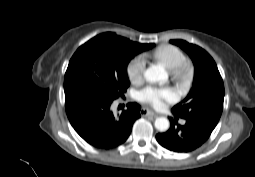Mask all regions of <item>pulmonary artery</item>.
<instances>
[{"label":"pulmonary artery","instance_id":"pulmonary-artery-1","mask_svg":"<svg viewBox=\"0 0 255 177\" xmlns=\"http://www.w3.org/2000/svg\"><path fill=\"white\" fill-rule=\"evenodd\" d=\"M181 123H182V124H184V123H185V121H184V120H182V121H181Z\"/></svg>","mask_w":255,"mask_h":177}]
</instances>
